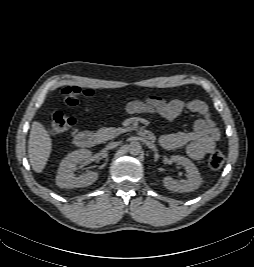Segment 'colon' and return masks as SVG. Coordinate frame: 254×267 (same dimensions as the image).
Wrapping results in <instances>:
<instances>
[{
    "instance_id": "1",
    "label": "colon",
    "mask_w": 254,
    "mask_h": 267,
    "mask_svg": "<svg viewBox=\"0 0 254 267\" xmlns=\"http://www.w3.org/2000/svg\"><path fill=\"white\" fill-rule=\"evenodd\" d=\"M64 101L68 106H76L79 104L81 98H89L93 96V91L82 90L78 87H66L62 91ZM75 124V119L67 116L61 111L53 114L49 133L51 135H60L70 130ZM208 164L212 169H219L224 164V155L220 151H214L208 159Z\"/></svg>"
}]
</instances>
